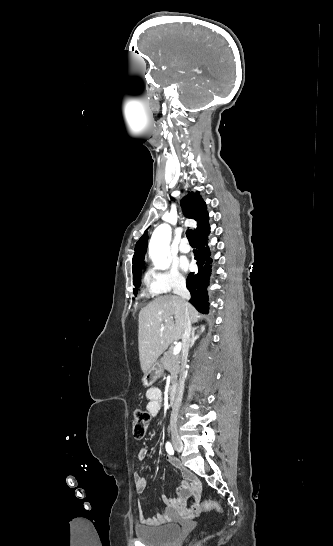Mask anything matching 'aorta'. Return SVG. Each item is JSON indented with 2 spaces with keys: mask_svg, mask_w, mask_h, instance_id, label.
I'll return each instance as SVG.
<instances>
[{
  "mask_svg": "<svg viewBox=\"0 0 333 546\" xmlns=\"http://www.w3.org/2000/svg\"><path fill=\"white\" fill-rule=\"evenodd\" d=\"M170 239L171 227L164 223L154 230L149 243V256L155 267L162 270L170 266V259L168 258Z\"/></svg>",
  "mask_w": 333,
  "mask_h": 546,
  "instance_id": "obj_1",
  "label": "aorta"
}]
</instances>
